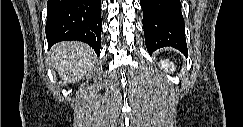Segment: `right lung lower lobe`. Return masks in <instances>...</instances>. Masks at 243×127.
I'll list each match as a JSON object with an SVG mask.
<instances>
[{"instance_id": "1", "label": "right lung lower lobe", "mask_w": 243, "mask_h": 127, "mask_svg": "<svg viewBox=\"0 0 243 127\" xmlns=\"http://www.w3.org/2000/svg\"><path fill=\"white\" fill-rule=\"evenodd\" d=\"M101 0H48L45 27L48 46L78 40L89 44L96 54L101 48Z\"/></svg>"}]
</instances>
